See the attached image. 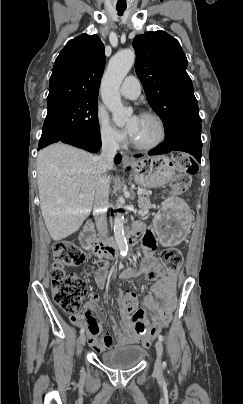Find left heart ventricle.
Returning <instances> with one entry per match:
<instances>
[{
  "instance_id": "1",
  "label": "left heart ventricle",
  "mask_w": 243,
  "mask_h": 404,
  "mask_svg": "<svg viewBox=\"0 0 243 404\" xmlns=\"http://www.w3.org/2000/svg\"><path fill=\"white\" fill-rule=\"evenodd\" d=\"M159 135L160 128L157 121L153 118L140 116L138 127L132 138L138 143L150 144L155 142Z\"/></svg>"
}]
</instances>
